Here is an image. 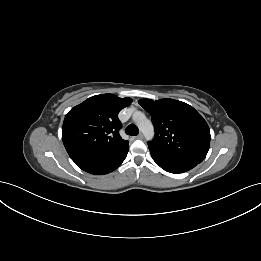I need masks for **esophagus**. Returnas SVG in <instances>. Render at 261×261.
<instances>
[{"instance_id":"34e87169","label":"esophagus","mask_w":261,"mask_h":261,"mask_svg":"<svg viewBox=\"0 0 261 261\" xmlns=\"http://www.w3.org/2000/svg\"><path fill=\"white\" fill-rule=\"evenodd\" d=\"M137 139H143L144 135L142 133H140L138 136H136Z\"/></svg>"}]
</instances>
